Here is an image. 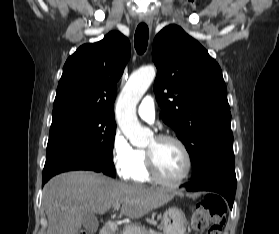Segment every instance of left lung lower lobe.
Segmentation results:
<instances>
[{"mask_svg":"<svg viewBox=\"0 0 279 234\" xmlns=\"http://www.w3.org/2000/svg\"><path fill=\"white\" fill-rule=\"evenodd\" d=\"M187 190L217 192L227 199L232 209L236 191L235 168L219 166L211 169L197 178H192V182L187 185Z\"/></svg>","mask_w":279,"mask_h":234,"instance_id":"0a47b994","label":"left lung lower lobe"}]
</instances>
